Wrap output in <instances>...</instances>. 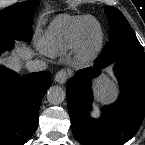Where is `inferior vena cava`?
I'll return each mask as SVG.
<instances>
[{
    "instance_id": "1",
    "label": "inferior vena cava",
    "mask_w": 145,
    "mask_h": 145,
    "mask_svg": "<svg viewBox=\"0 0 145 145\" xmlns=\"http://www.w3.org/2000/svg\"><path fill=\"white\" fill-rule=\"evenodd\" d=\"M26 67L30 72H38V71L46 70L47 65L42 60H33V61H27Z\"/></svg>"
}]
</instances>
